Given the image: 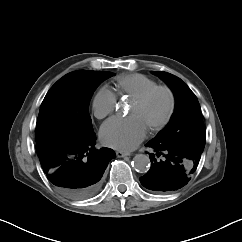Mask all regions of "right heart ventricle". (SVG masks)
Masks as SVG:
<instances>
[{"label": "right heart ventricle", "instance_id": "e07e8e85", "mask_svg": "<svg viewBox=\"0 0 242 242\" xmlns=\"http://www.w3.org/2000/svg\"><path fill=\"white\" fill-rule=\"evenodd\" d=\"M157 85L152 78L140 73L122 74L116 78V89L120 96L136 98Z\"/></svg>", "mask_w": 242, "mask_h": 242}]
</instances>
